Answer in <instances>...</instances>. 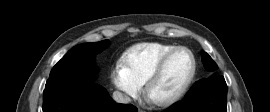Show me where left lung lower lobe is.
Here are the masks:
<instances>
[{
    "label": "left lung lower lobe",
    "mask_w": 270,
    "mask_h": 112,
    "mask_svg": "<svg viewBox=\"0 0 270 112\" xmlns=\"http://www.w3.org/2000/svg\"><path fill=\"white\" fill-rule=\"evenodd\" d=\"M163 112H227V85L215 76Z\"/></svg>",
    "instance_id": "left-lung-lower-lobe-1"
}]
</instances>
